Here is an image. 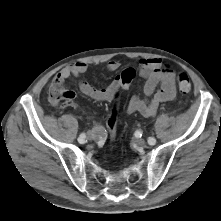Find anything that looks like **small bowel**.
<instances>
[{"mask_svg": "<svg viewBox=\"0 0 221 221\" xmlns=\"http://www.w3.org/2000/svg\"><path fill=\"white\" fill-rule=\"evenodd\" d=\"M120 63L111 60L107 63L106 69L110 72L118 70ZM88 70L85 62H75L63 68L54 78V81L63 83L71 76L80 77ZM135 70L128 68L119 74L109 85L103 88H96L85 80L79 81V90L82 94L95 101L103 102L114 99L119 89H127L135 77ZM139 74L144 78L143 95L132 96L127 104L128 113H139L145 117L154 116L159 106L164 102L174 101L177 97L175 73L171 66L163 64L158 58H145L140 61ZM129 81L124 85V81ZM73 102V100H68ZM94 132L98 137L103 136L101 127H96Z\"/></svg>", "mask_w": 221, "mask_h": 221, "instance_id": "c3829d8e", "label": "small bowel"}]
</instances>
